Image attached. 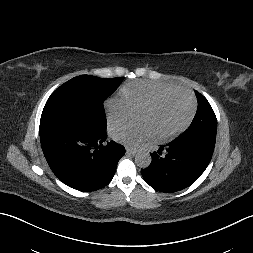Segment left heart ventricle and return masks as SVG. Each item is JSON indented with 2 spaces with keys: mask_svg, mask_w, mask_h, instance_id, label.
<instances>
[{
  "mask_svg": "<svg viewBox=\"0 0 253 253\" xmlns=\"http://www.w3.org/2000/svg\"><path fill=\"white\" fill-rule=\"evenodd\" d=\"M191 110L190 100L177 93L163 98L152 110H141L139 121L148 124L154 135H164L180 126Z\"/></svg>",
  "mask_w": 253,
  "mask_h": 253,
  "instance_id": "obj_1",
  "label": "left heart ventricle"
}]
</instances>
